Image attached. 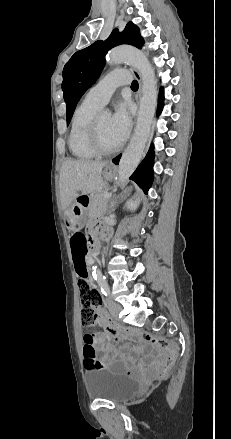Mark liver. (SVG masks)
<instances>
[{
  "label": "liver",
  "instance_id": "1",
  "mask_svg": "<svg viewBox=\"0 0 231 439\" xmlns=\"http://www.w3.org/2000/svg\"><path fill=\"white\" fill-rule=\"evenodd\" d=\"M107 162L66 160L61 167L59 189L63 209L69 207L80 195L93 193L101 188L102 169Z\"/></svg>",
  "mask_w": 231,
  "mask_h": 439
}]
</instances>
